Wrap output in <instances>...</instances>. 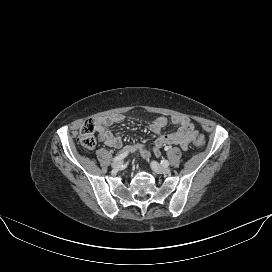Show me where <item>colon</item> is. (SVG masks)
<instances>
[{
    "instance_id": "colon-1",
    "label": "colon",
    "mask_w": 272,
    "mask_h": 272,
    "mask_svg": "<svg viewBox=\"0 0 272 272\" xmlns=\"http://www.w3.org/2000/svg\"><path fill=\"white\" fill-rule=\"evenodd\" d=\"M79 143L86 149H92L96 145V123L92 119L85 120L80 127ZM196 146L202 147L205 144V139L199 136L194 140Z\"/></svg>"
}]
</instances>
